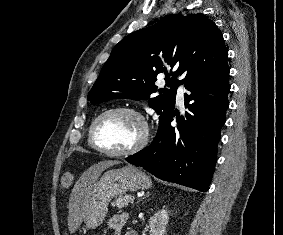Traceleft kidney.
I'll use <instances>...</instances> for the list:
<instances>
[{
    "instance_id": "left-kidney-1",
    "label": "left kidney",
    "mask_w": 283,
    "mask_h": 235,
    "mask_svg": "<svg viewBox=\"0 0 283 235\" xmlns=\"http://www.w3.org/2000/svg\"><path fill=\"white\" fill-rule=\"evenodd\" d=\"M168 212L165 209L156 212L149 220L150 235H164L168 224Z\"/></svg>"
}]
</instances>
